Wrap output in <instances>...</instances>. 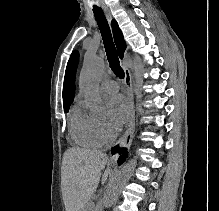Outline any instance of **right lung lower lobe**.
<instances>
[{"instance_id": "obj_1", "label": "right lung lower lobe", "mask_w": 219, "mask_h": 211, "mask_svg": "<svg viewBox=\"0 0 219 211\" xmlns=\"http://www.w3.org/2000/svg\"><path fill=\"white\" fill-rule=\"evenodd\" d=\"M118 150V146H115L112 148V153H115ZM121 152L123 153L122 156H120L118 160V164L120 165L126 158L127 156V150L125 148L121 149Z\"/></svg>"}]
</instances>
